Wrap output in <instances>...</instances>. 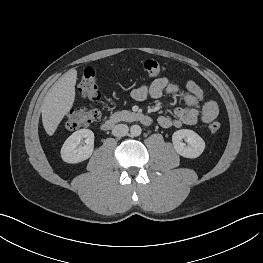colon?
Returning <instances> with one entry per match:
<instances>
[{"label":"colon","instance_id":"obj_1","mask_svg":"<svg viewBox=\"0 0 263 263\" xmlns=\"http://www.w3.org/2000/svg\"><path fill=\"white\" fill-rule=\"evenodd\" d=\"M142 70L148 77H157L161 75L165 68L156 60L148 59L143 62ZM79 90L81 94L92 102H96L100 98V92L96 82V70L94 67L85 68L80 82ZM100 118V113L96 108H74L72 109L65 121V126L69 130H75L96 122ZM221 125L217 121L209 124L208 129L211 133H215L220 129Z\"/></svg>","mask_w":263,"mask_h":263}]
</instances>
